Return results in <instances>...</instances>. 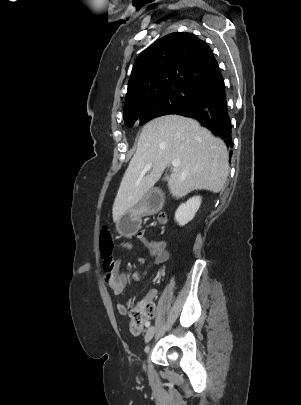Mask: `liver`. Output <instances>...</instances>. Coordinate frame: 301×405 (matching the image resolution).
<instances>
[{
	"mask_svg": "<svg viewBox=\"0 0 301 405\" xmlns=\"http://www.w3.org/2000/svg\"><path fill=\"white\" fill-rule=\"evenodd\" d=\"M179 160L168 180L172 195L181 198L194 190L219 192L229 174L224 142L191 119L166 115L147 123L137 150L122 178L113 209V221L132 209L160 179L164 169ZM151 170L145 174V166Z\"/></svg>",
	"mask_w": 301,
	"mask_h": 405,
	"instance_id": "liver-1",
	"label": "liver"
}]
</instances>
